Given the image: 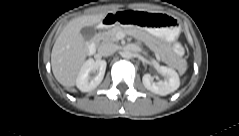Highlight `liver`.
I'll use <instances>...</instances> for the list:
<instances>
[{"label": "liver", "mask_w": 239, "mask_h": 136, "mask_svg": "<svg viewBox=\"0 0 239 136\" xmlns=\"http://www.w3.org/2000/svg\"><path fill=\"white\" fill-rule=\"evenodd\" d=\"M106 14L80 16L72 19L56 39L51 53V66L56 80L66 88L76 79L89 54L88 44L80 31L101 22Z\"/></svg>", "instance_id": "obj_1"}]
</instances>
